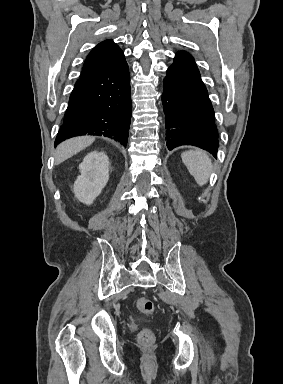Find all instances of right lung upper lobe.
I'll return each mask as SVG.
<instances>
[{"instance_id": "1", "label": "right lung upper lobe", "mask_w": 283, "mask_h": 384, "mask_svg": "<svg viewBox=\"0 0 283 384\" xmlns=\"http://www.w3.org/2000/svg\"><path fill=\"white\" fill-rule=\"evenodd\" d=\"M125 62L123 51L112 40L98 44L87 56L80 76L115 68Z\"/></svg>"}]
</instances>
